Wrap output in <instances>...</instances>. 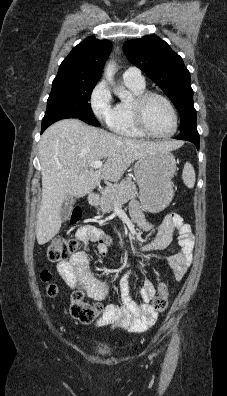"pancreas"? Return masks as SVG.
Returning a JSON list of instances; mask_svg holds the SVG:
<instances>
[{
  "label": "pancreas",
  "mask_w": 227,
  "mask_h": 396,
  "mask_svg": "<svg viewBox=\"0 0 227 396\" xmlns=\"http://www.w3.org/2000/svg\"><path fill=\"white\" fill-rule=\"evenodd\" d=\"M138 196L137 188L131 177H127L118 184L101 190V206L100 211L110 213L114 210L116 204L122 205L128 200Z\"/></svg>",
  "instance_id": "cf45deb5"
}]
</instances>
